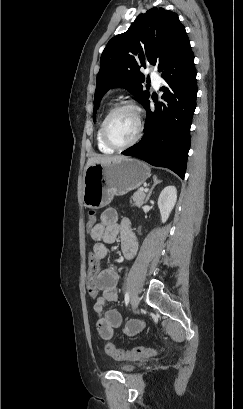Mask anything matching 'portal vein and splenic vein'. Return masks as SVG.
<instances>
[{
	"label": "portal vein and splenic vein",
	"mask_w": 243,
	"mask_h": 409,
	"mask_svg": "<svg viewBox=\"0 0 243 409\" xmlns=\"http://www.w3.org/2000/svg\"><path fill=\"white\" fill-rule=\"evenodd\" d=\"M140 190H142V191H144V192H147L148 191V189L147 188H142V189H140Z\"/></svg>",
	"instance_id": "portal-vein-and-splenic-vein-1"
}]
</instances>
